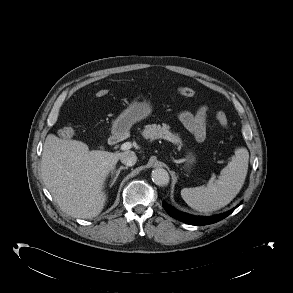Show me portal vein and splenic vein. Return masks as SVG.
Segmentation results:
<instances>
[{
	"instance_id": "1",
	"label": "portal vein and splenic vein",
	"mask_w": 293,
	"mask_h": 293,
	"mask_svg": "<svg viewBox=\"0 0 293 293\" xmlns=\"http://www.w3.org/2000/svg\"><path fill=\"white\" fill-rule=\"evenodd\" d=\"M132 148V143L131 142H125L121 145L120 149L125 151Z\"/></svg>"
}]
</instances>
